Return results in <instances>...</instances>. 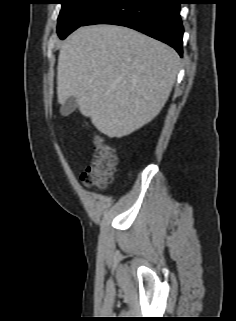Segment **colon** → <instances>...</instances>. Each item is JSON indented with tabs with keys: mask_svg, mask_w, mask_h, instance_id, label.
I'll return each mask as SVG.
<instances>
[{
	"mask_svg": "<svg viewBox=\"0 0 236 321\" xmlns=\"http://www.w3.org/2000/svg\"><path fill=\"white\" fill-rule=\"evenodd\" d=\"M94 145V154L81 180L88 188H104L113 179L117 156L114 148L101 135L94 136Z\"/></svg>",
	"mask_w": 236,
	"mask_h": 321,
	"instance_id": "5ec220e1",
	"label": "colon"
}]
</instances>
